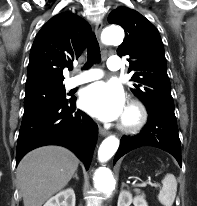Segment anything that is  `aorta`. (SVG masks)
Listing matches in <instances>:
<instances>
[{
    "instance_id": "obj_1",
    "label": "aorta",
    "mask_w": 197,
    "mask_h": 206,
    "mask_svg": "<svg viewBox=\"0 0 197 206\" xmlns=\"http://www.w3.org/2000/svg\"><path fill=\"white\" fill-rule=\"evenodd\" d=\"M124 32L120 27H107L103 30L102 40L107 45L122 43ZM119 140L115 136L107 137L98 150V160L101 163L108 161L117 151ZM95 186L105 195H110L115 189V180L109 169L101 167L96 172Z\"/></svg>"
}]
</instances>
